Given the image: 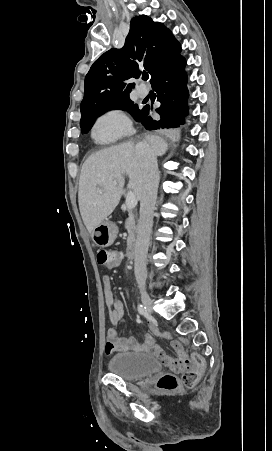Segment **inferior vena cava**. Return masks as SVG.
<instances>
[{
    "instance_id": "obj_1",
    "label": "inferior vena cava",
    "mask_w": 272,
    "mask_h": 451,
    "mask_svg": "<svg viewBox=\"0 0 272 451\" xmlns=\"http://www.w3.org/2000/svg\"><path fill=\"white\" fill-rule=\"evenodd\" d=\"M136 156L143 168V188L140 200V220L135 243L134 273L137 283L144 285L147 277V251L159 184L156 154L146 142L136 146Z\"/></svg>"
}]
</instances>
